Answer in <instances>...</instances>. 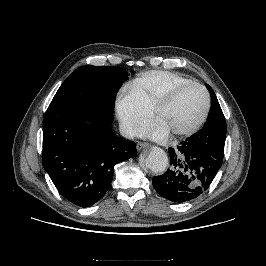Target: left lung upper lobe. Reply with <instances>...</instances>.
I'll return each mask as SVG.
<instances>
[{
    "instance_id": "left-lung-upper-lobe-1",
    "label": "left lung upper lobe",
    "mask_w": 266,
    "mask_h": 266,
    "mask_svg": "<svg viewBox=\"0 0 266 266\" xmlns=\"http://www.w3.org/2000/svg\"><path fill=\"white\" fill-rule=\"evenodd\" d=\"M211 95V112L203 129L187 141L189 146L200 149L213 157L223 159L226 122L213 89L206 85Z\"/></svg>"
}]
</instances>
